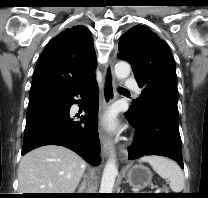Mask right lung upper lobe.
I'll return each instance as SVG.
<instances>
[{"instance_id": "cb5924a9", "label": "right lung upper lobe", "mask_w": 208, "mask_h": 198, "mask_svg": "<svg viewBox=\"0 0 208 198\" xmlns=\"http://www.w3.org/2000/svg\"><path fill=\"white\" fill-rule=\"evenodd\" d=\"M97 67L91 32L78 25L55 36L40 55L29 104L67 95L94 77Z\"/></svg>"}]
</instances>
